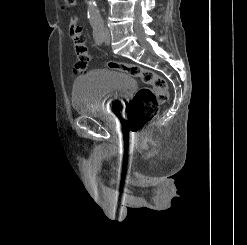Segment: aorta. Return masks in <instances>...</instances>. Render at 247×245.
<instances>
[{"mask_svg": "<svg viewBox=\"0 0 247 245\" xmlns=\"http://www.w3.org/2000/svg\"><path fill=\"white\" fill-rule=\"evenodd\" d=\"M87 15L92 25H100L103 20L95 0H88Z\"/></svg>", "mask_w": 247, "mask_h": 245, "instance_id": "aorta-1", "label": "aorta"}]
</instances>
